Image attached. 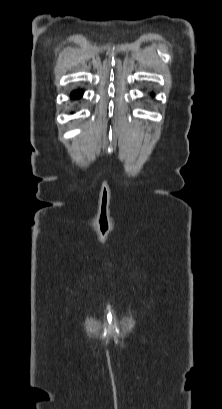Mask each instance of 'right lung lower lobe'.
Instances as JSON below:
<instances>
[{
    "label": "right lung lower lobe",
    "mask_w": 222,
    "mask_h": 409,
    "mask_svg": "<svg viewBox=\"0 0 222 409\" xmlns=\"http://www.w3.org/2000/svg\"><path fill=\"white\" fill-rule=\"evenodd\" d=\"M82 96V91H77L73 94V98H79Z\"/></svg>",
    "instance_id": "1"
}]
</instances>
